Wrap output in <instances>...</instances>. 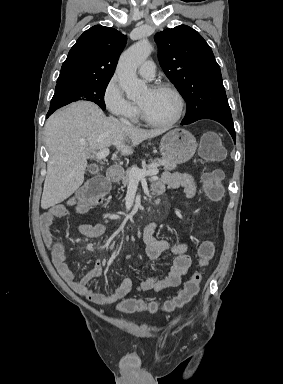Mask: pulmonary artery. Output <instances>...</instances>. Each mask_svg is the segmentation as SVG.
Here are the masks:
<instances>
[{"label": "pulmonary artery", "instance_id": "pulmonary-artery-1", "mask_svg": "<svg viewBox=\"0 0 283 384\" xmlns=\"http://www.w3.org/2000/svg\"><path fill=\"white\" fill-rule=\"evenodd\" d=\"M155 66L151 61H144L138 67V74L148 80L155 76Z\"/></svg>", "mask_w": 283, "mask_h": 384}]
</instances>
